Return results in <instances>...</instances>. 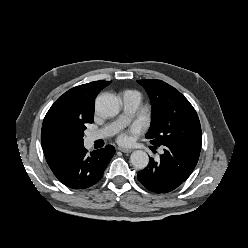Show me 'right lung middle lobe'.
Listing matches in <instances>:
<instances>
[{
	"label": "right lung middle lobe",
	"mask_w": 248,
	"mask_h": 248,
	"mask_svg": "<svg viewBox=\"0 0 248 248\" xmlns=\"http://www.w3.org/2000/svg\"><path fill=\"white\" fill-rule=\"evenodd\" d=\"M84 129H86L85 124H80L77 128V137L81 143H83Z\"/></svg>",
	"instance_id": "right-lung-middle-lobe-1"
}]
</instances>
